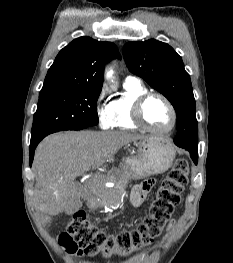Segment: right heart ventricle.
Instances as JSON below:
<instances>
[{
    "label": "right heart ventricle",
    "mask_w": 233,
    "mask_h": 263,
    "mask_svg": "<svg viewBox=\"0 0 233 263\" xmlns=\"http://www.w3.org/2000/svg\"><path fill=\"white\" fill-rule=\"evenodd\" d=\"M148 92L147 88L139 81H125L123 94L111 102L113 114V127L119 129H135L132 117L133 105L136 99Z\"/></svg>",
    "instance_id": "obj_1"
}]
</instances>
